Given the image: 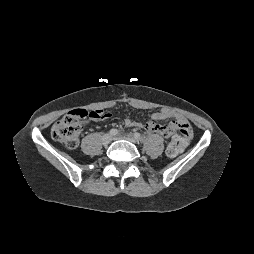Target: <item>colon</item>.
<instances>
[{
    "instance_id": "colon-1",
    "label": "colon",
    "mask_w": 254,
    "mask_h": 254,
    "mask_svg": "<svg viewBox=\"0 0 254 254\" xmlns=\"http://www.w3.org/2000/svg\"><path fill=\"white\" fill-rule=\"evenodd\" d=\"M101 111H87L77 109L59 119L51 129V136L54 140L64 144L66 147L76 148L79 136L82 130V123L86 119H96L100 116ZM175 129L179 130L182 135L175 136L170 142L167 153L169 156L178 155L188 144V135L191 133V127L187 123L176 124Z\"/></svg>"
}]
</instances>
